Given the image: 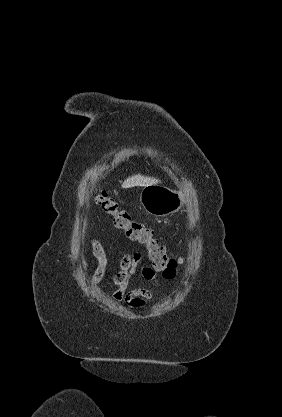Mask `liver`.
<instances>
[{
  "mask_svg": "<svg viewBox=\"0 0 282 417\" xmlns=\"http://www.w3.org/2000/svg\"><path fill=\"white\" fill-rule=\"evenodd\" d=\"M160 182L159 178H153V176H142V174H134V176H129L121 186L123 188H131V186H149V184H157Z\"/></svg>",
  "mask_w": 282,
  "mask_h": 417,
  "instance_id": "6515ba94",
  "label": "liver"
}]
</instances>
